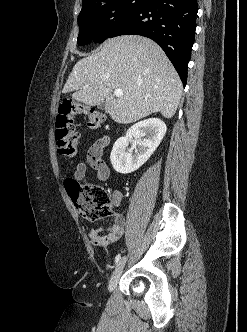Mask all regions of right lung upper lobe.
<instances>
[{"instance_id": "1", "label": "right lung upper lobe", "mask_w": 247, "mask_h": 332, "mask_svg": "<svg viewBox=\"0 0 247 332\" xmlns=\"http://www.w3.org/2000/svg\"><path fill=\"white\" fill-rule=\"evenodd\" d=\"M101 0H83L82 2V9H85Z\"/></svg>"}]
</instances>
